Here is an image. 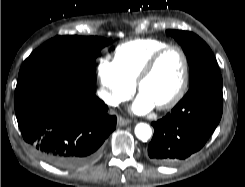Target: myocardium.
<instances>
[{
  "label": "myocardium",
  "instance_id": "obj_1",
  "mask_svg": "<svg viewBox=\"0 0 245 187\" xmlns=\"http://www.w3.org/2000/svg\"><path fill=\"white\" fill-rule=\"evenodd\" d=\"M171 50H176L180 54L183 63V74H182L180 85L177 91L175 92V94L166 102L156 106V108L159 110H168L173 108L182 100V98L185 96L187 92L190 72H189V61L184 50L178 45H167L157 50L155 53L152 54V56L147 60V62L141 69L135 83L136 89L140 92L141 85L151 75L160 58L165 53Z\"/></svg>",
  "mask_w": 245,
  "mask_h": 187
}]
</instances>
